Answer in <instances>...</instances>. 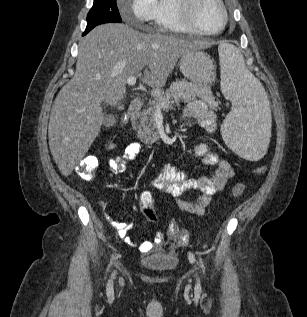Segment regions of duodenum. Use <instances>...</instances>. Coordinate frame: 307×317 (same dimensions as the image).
<instances>
[{
  "label": "duodenum",
  "mask_w": 307,
  "mask_h": 317,
  "mask_svg": "<svg viewBox=\"0 0 307 317\" xmlns=\"http://www.w3.org/2000/svg\"><path fill=\"white\" fill-rule=\"evenodd\" d=\"M143 107V101L141 99H135L131 102L128 114L131 118L136 117L142 110Z\"/></svg>",
  "instance_id": "1"
}]
</instances>
